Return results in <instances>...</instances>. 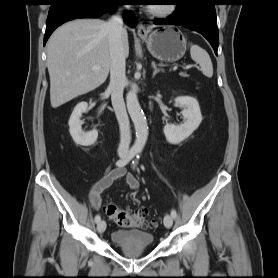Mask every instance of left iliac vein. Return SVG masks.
<instances>
[{
    "label": "left iliac vein",
    "mask_w": 278,
    "mask_h": 278,
    "mask_svg": "<svg viewBox=\"0 0 278 278\" xmlns=\"http://www.w3.org/2000/svg\"><path fill=\"white\" fill-rule=\"evenodd\" d=\"M164 225L166 228H170L173 225V217L169 214H167L164 217Z\"/></svg>",
    "instance_id": "obj_1"
}]
</instances>
